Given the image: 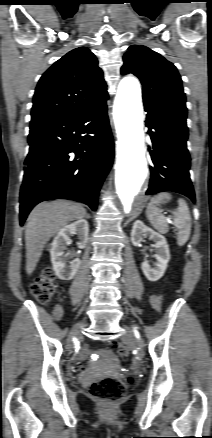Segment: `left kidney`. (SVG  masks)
Listing matches in <instances>:
<instances>
[{"mask_svg": "<svg viewBox=\"0 0 212 438\" xmlns=\"http://www.w3.org/2000/svg\"><path fill=\"white\" fill-rule=\"evenodd\" d=\"M143 236H149L155 242L156 254L154 257L157 262L152 268L148 261L141 264V269L145 277L152 282L159 280L165 273L167 264L170 260V251L167 241L163 235L155 232L153 229L146 226L141 220H136L133 224L131 232V242L134 246H139Z\"/></svg>", "mask_w": 212, "mask_h": 438, "instance_id": "left-kidney-1", "label": "left kidney"}]
</instances>
